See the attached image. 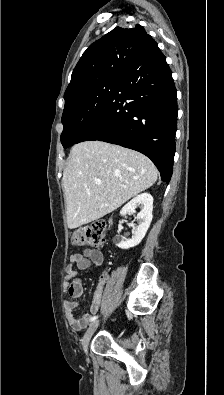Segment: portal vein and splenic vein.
I'll return each mask as SVG.
<instances>
[{
    "label": "portal vein and splenic vein",
    "mask_w": 224,
    "mask_h": 395,
    "mask_svg": "<svg viewBox=\"0 0 224 395\" xmlns=\"http://www.w3.org/2000/svg\"><path fill=\"white\" fill-rule=\"evenodd\" d=\"M95 182H96L97 185H100V184H101V181H100V180H96Z\"/></svg>",
    "instance_id": "portal-vein-and-splenic-vein-1"
}]
</instances>
